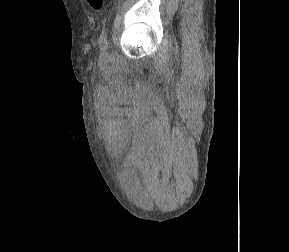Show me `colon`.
<instances>
[{
	"label": "colon",
	"mask_w": 289,
	"mask_h": 252,
	"mask_svg": "<svg viewBox=\"0 0 289 252\" xmlns=\"http://www.w3.org/2000/svg\"><path fill=\"white\" fill-rule=\"evenodd\" d=\"M87 2L92 9L99 10L103 5L104 0H87Z\"/></svg>",
	"instance_id": "1"
}]
</instances>
